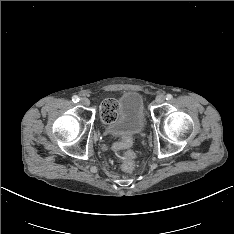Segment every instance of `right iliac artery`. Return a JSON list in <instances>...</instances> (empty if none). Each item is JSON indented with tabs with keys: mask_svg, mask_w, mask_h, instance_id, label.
<instances>
[{
	"mask_svg": "<svg viewBox=\"0 0 234 234\" xmlns=\"http://www.w3.org/2000/svg\"><path fill=\"white\" fill-rule=\"evenodd\" d=\"M72 101L75 102V103L78 102L79 101V97L77 95H74L72 97Z\"/></svg>",
	"mask_w": 234,
	"mask_h": 234,
	"instance_id": "right-iliac-artery-1",
	"label": "right iliac artery"
}]
</instances>
